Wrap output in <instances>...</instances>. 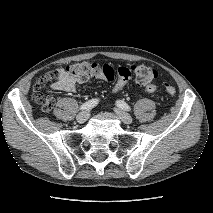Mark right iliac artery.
Listing matches in <instances>:
<instances>
[{
    "mask_svg": "<svg viewBox=\"0 0 213 213\" xmlns=\"http://www.w3.org/2000/svg\"><path fill=\"white\" fill-rule=\"evenodd\" d=\"M98 99H91L80 106V110H90L98 104Z\"/></svg>",
    "mask_w": 213,
    "mask_h": 213,
    "instance_id": "1",
    "label": "right iliac artery"
}]
</instances>
